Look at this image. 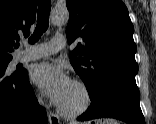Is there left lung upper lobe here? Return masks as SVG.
I'll list each match as a JSON object with an SVG mask.
<instances>
[{
	"instance_id": "1",
	"label": "left lung upper lobe",
	"mask_w": 156,
	"mask_h": 124,
	"mask_svg": "<svg viewBox=\"0 0 156 124\" xmlns=\"http://www.w3.org/2000/svg\"><path fill=\"white\" fill-rule=\"evenodd\" d=\"M70 13L68 43L82 38L70 62L82 78L90 99L121 90L138 95L133 24L121 0H66Z\"/></svg>"
}]
</instances>
